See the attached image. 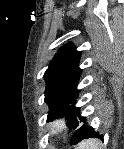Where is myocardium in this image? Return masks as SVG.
<instances>
[{"label": "myocardium", "instance_id": "f54148a6", "mask_svg": "<svg viewBox=\"0 0 124 149\" xmlns=\"http://www.w3.org/2000/svg\"><path fill=\"white\" fill-rule=\"evenodd\" d=\"M77 119L72 110H63L52 116L46 126V133L51 139H59L67 134Z\"/></svg>", "mask_w": 124, "mask_h": 149}]
</instances>
